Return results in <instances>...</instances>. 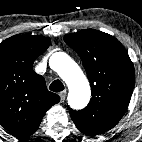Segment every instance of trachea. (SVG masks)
Listing matches in <instances>:
<instances>
[{
	"label": "trachea",
	"instance_id": "obj_1",
	"mask_svg": "<svg viewBox=\"0 0 142 142\" xmlns=\"http://www.w3.org/2000/svg\"><path fill=\"white\" fill-rule=\"evenodd\" d=\"M49 89L54 92H59L64 90V85L60 80H55L51 83Z\"/></svg>",
	"mask_w": 142,
	"mask_h": 142
}]
</instances>
